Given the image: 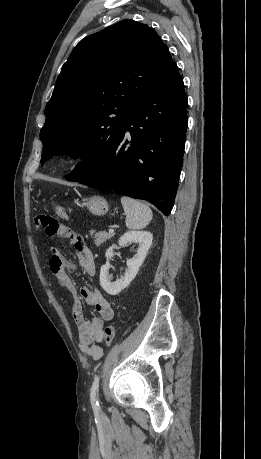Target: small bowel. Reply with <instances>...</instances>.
<instances>
[{
	"mask_svg": "<svg viewBox=\"0 0 261 459\" xmlns=\"http://www.w3.org/2000/svg\"><path fill=\"white\" fill-rule=\"evenodd\" d=\"M45 232L48 237L57 236L70 239L78 256V262L73 263L52 248L48 268L56 277L59 285L73 298L72 316L78 329L81 351L93 360H99L103 355V348L100 346L104 338L103 325L113 318L114 311L98 289L86 286L79 289L71 276L78 268H82L85 274L93 276L95 274L94 255L84 244L82 238L66 225L57 223L54 230L50 231L45 228ZM83 300L95 308L98 316L93 318L85 316Z\"/></svg>",
	"mask_w": 261,
	"mask_h": 459,
	"instance_id": "c3829d8e",
	"label": "small bowel"
}]
</instances>
